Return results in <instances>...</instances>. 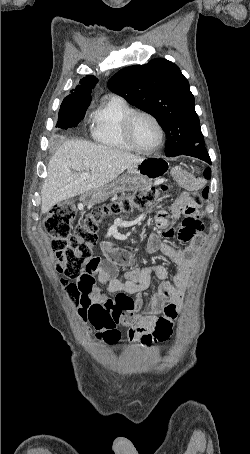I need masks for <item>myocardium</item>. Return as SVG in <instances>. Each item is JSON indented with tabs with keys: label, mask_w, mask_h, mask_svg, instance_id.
Here are the masks:
<instances>
[{
	"label": "myocardium",
	"mask_w": 250,
	"mask_h": 454,
	"mask_svg": "<svg viewBox=\"0 0 250 454\" xmlns=\"http://www.w3.org/2000/svg\"><path fill=\"white\" fill-rule=\"evenodd\" d=\"M141 116L149 118L155 124V126L158 130V133H159V140H158L157 144L150 149H143V148L139 147L134 140L133 126H134L136 119ZM123 134H124V138H125L126 142L128 143V145L134 151H137L142 154H153V153L157 152L162 147L164 140H165V131H164L162 124L158 120V118L154 114H152L148 111H144V110H134L124 118Z\"/></svg>",
	"instance_id": "1"
}]
</instances>
